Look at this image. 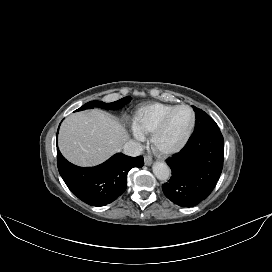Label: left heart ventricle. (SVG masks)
Here are the masks:
<instances>
[{
    "mask_svg": "<svg viewBox=\"0 0 272 272\" xmlns=\"http://www.w3.org/2000/svg\"><path fill=\"white\" fill-rule=\"evenodd\" d=\"M191 122V113L187 109L178 110L171 117L161 137L164 145H173L185 134Z\"/></svg>",
    "mask_w": 272,
    "mask_h": 272,
    "instance_id": "left-heart-ventricle-1",
    "label": "left heart ventricle"
}]
</instances>
